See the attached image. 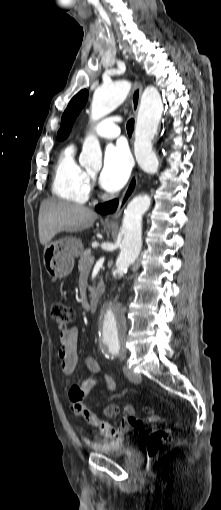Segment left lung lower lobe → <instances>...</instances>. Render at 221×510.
<instances>
[{"label": "left lung lower lobe", "instance_id": "0a47b994", "mask_svg": "<svg viewBox=\"0 0 221 510\" xmlns=\"http://www.w3.org/2000/svg\"><path fill=\"white\" fill-rule=\"evenodd\" d=\"M118 206V200H113L106 202L104 204H99L95 207V210L102 214H109L116 210Z\"/></svg>", "mask_w": 221, "mask_h": 510}]
</instances>
